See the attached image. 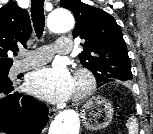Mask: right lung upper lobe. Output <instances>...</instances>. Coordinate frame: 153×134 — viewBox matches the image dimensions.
Masks as SVG:
<instances>
[{"label": "right lung upper lobe", "instance_id": "cb5924a9", "mask_svg": "<svg viewBox=\"0 0 153 134\" xmlns=\"http://www.w3.org/2000/svg\"><path fill=\"white\" fill-rule=\"evenodd\" d=\"M30 35L31 22L25 9L13 2L0 8V70L10 69L13 61L7 53L26 47Z\"/></svg>", "mask_w": 153, "mask_h": 134}]
</instances>
